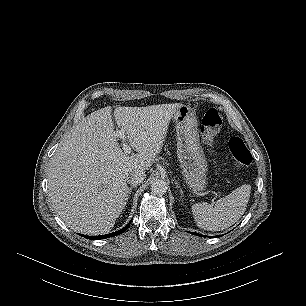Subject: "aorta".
I'll return each mask as SVG.
<instances>
[{"instance_id": "aorta-1", "label": "aorta", "mask_w": 306, "mask_h": 306, "mask_svg": "<svg viewBox=\"0 0 306 306\" xmlns=\"http://www.w3.org/2000/svg\"><path fill=\"white\" fill-rule=\"evenodd\" d=\"M168 185L165 180L155 179L151 183V191L156 195H163L166 193Z\"/></svg>"}]
</instances>
